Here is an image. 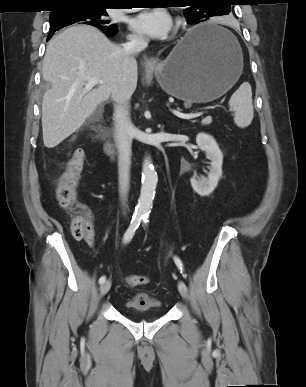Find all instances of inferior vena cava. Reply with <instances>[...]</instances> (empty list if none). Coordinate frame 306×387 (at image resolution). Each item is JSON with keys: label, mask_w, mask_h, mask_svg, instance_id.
I'll list each match as a JSON object with an SVG mask.
<instances>
[{"label": "inferior vena cava", "mask_w": 306, "mask_h": 387, "mask_svg": "<svg viewBox=\"0 0 306 387\" xmlns=\"http://www.w3.org/2000/svg\"><path fill=\"white\" fill-rule=\"evenodd\" d=\"M148 45L146 39L133 36L123 45L124 52V79L115 89L113 94L115 141L118 149V175L119 193L122 202L127 200L130 182L132 122L130 119V98L133 89L128 83L127 77L130 71V62Z\"/></svg>", "instance_id": "1"}]
</instances>
